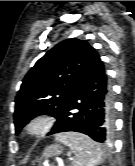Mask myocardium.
<instances>
[{
	"mask_svg": "<svg viewBox=\"0 0 135 166\" xmlns=\"http://www.w3.org/2000/svg\"><path fill=\"white\" fill-rule=\"evenodd\" d=\"M53 126V120L48 115H37L30 119L23 127L24 135L32 138L46 135Z\"/></svg>",
	"mask_w": 135,
	"mask_h": 166,
	"instance_id": "obj_1",
	"label": "myocardium"
}]
</instances>
